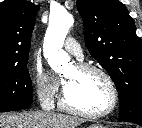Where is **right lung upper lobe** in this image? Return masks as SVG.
Returning <instances> with one entry per match:
<instances>
[{
    "instance_id": "cb5924a9",
    "label": "right lung upper lobe",
    "mask_w": 142,
    "mask_h": 128,
    "mask_svg": "<svg viewBox=\"0 0 142 128\" xmlns=\"http://www.w3.org/2000/svg\"><path fill=\"white\" fill-rule=\"evenodd\" d=\"M39 6L24 0L0 4V68L27 64Z\"/></svg>"
}]
</instances>
